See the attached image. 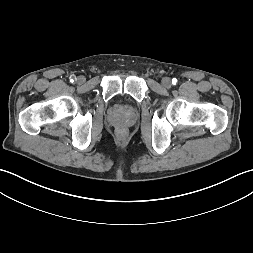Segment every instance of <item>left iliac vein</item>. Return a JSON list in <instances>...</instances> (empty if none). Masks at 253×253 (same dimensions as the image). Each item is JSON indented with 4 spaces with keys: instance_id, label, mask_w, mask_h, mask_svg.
Segmentation results:
<instances>
[{
    "instance_id": "4c4485c4",
    "label": "left iliac vein",
    "mask_w": 253,
    "mask_h": 253,
    "mask_svg": "<svg viewBox=\"0 0 253 253\" xmlns=\"http://www.w3.org/2000/svg\"><path fill=\"white\" fill-rule=\"evenodd\" d=\"M161 82H162V85L166 88H170L172 85V82H171L170 78H168V77H164Z\"/></svg>"
}]
</instances>
